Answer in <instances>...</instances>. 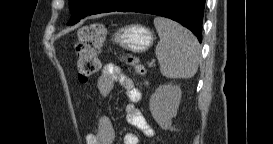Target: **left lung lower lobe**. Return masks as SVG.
Instances as JSON below:
<instances>
[{
	"label": "left lung lower lobe",
	"instance_id": "obj_1",
	"mask_svg": "<svg viewBox=\"0 0 273 144\" xmlns=\"http://www.w3.org/2000/svg\"><path fill=\"white\" fill-rule=\"evenodd\" d=\"M205 0H96L88 12L71 17L68 25L89 15L112 11L140 12L170 18L191 30L201 42Z\"/></svg>",
	"mask_w": 273,
	"mask_h": 144
}]
</instances>
